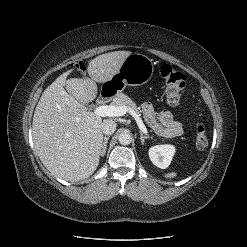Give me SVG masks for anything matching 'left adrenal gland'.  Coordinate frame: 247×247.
I'll list each match as a JSON object with an SVG mask.
<instances>
[{
  "mask_svg": "<svg viewBox=\"0 0 247 247\" xmlns=\"http://www.w3.org/2000/svg\"><path fill=\"white\" fill-rule=\"evenodd\" d=\"M148 136H144L141 132H140V140H141V144L144 145V142L146 139H148Z\"/></svg>",
  "mask_w": 247,
  "mask_h": 247,
  "instance_id": "obj_1",
  "label": "left adrenal gland"
}]
</instances>
